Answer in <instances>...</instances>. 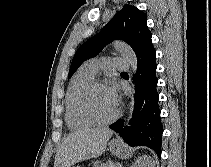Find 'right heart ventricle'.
I'll return each mask as SVG.
<instances>
[{"instance_id": "obj_1", "label": "right heart ventricle", "mask_w": 211, "mask_h": 167, "mask_svg": "<svg viewBox=\"0 0 211 167\" xmlns=\"http://www.w3.org/2000/svg\"><path fill=\"white\" fill-rule=\"evenodd\" d=\"M93 80L94 75L82 67L74 75L68 87L65 98V118L68 127L72 130L87 129L93 125L81 115L78 108L82 91Z\"/></svg>"}]
</instances>
